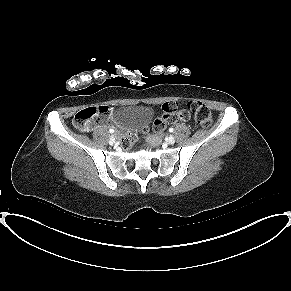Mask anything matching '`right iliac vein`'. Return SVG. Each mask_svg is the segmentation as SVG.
<instances>
[{"mask_svg":"<svg viewBox=\"0 0 291 291\" xmlns=\"http://www.w3.org/2000/svg\"><path fill=\"white\" fill-rule=\"evenodd\" d=\"M115 137H116V133L110 137V139H109L110 145H113L115 143Z\"/></svg>","mask_w":291,"mask_h":291,"instance_id":"63e3f726","label":"right iliac vein"}]
</instances>
